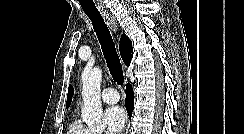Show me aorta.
<instances>
[{
    "mask_svg": "<svg viewBox=\"0 0 244 134\" xmlns=\"http://www.w3.org/2000/svg\"><path fill=\"white\" fill-rule=\"evenodd\" d=\"M82 88V118L91 129H103L106 122L103 119L100 84L102 70L99 67L85 69L81 76Z\"/></svg>",
    "mask_w": 244,
    "mask_h": 134,
    "instance_id": "aorta-1",
    "label": "aorta"
}]
</instances>
